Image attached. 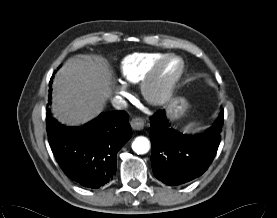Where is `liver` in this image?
<instances>
[{"mask_svg":"<svg viewBox=\"0 0 277 218\" xmlns=\"http://www.w3.org/2000/svg\"><path fill=\"white\" fill-rule=\"evenodd\" d=\"M109 85L108 66L101 58L90 55L70 58L54 79V117L70 126L91 120L102 111Z\"/></svg>","mask_w":277,"mask_h":218,"instance_id":"6515ba94","label":"liver"}]
</instances>
